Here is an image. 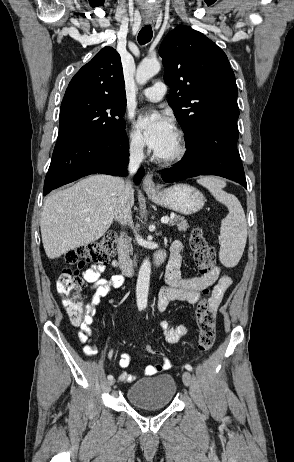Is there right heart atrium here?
<instances>
[{
  "label": "right heart atrium",
  "mask_w": 294,
  "mask_h": 462,
  "mask_svg": "<svg viewBox=\"0 0 294 462\" xmlns=\"http://www.w3.org/2000/svg\"><path fill=\"white\" fill-rule=\"evenodd\" d=\"M129 149L136 156H141L144 152V142L141 135L131 130L129 133Z\"/></svg>",
  "instance_id": "1"
}]
</instances>
